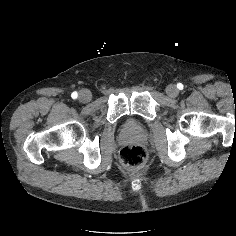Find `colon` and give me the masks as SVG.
<instances>
[{"label": "colon", "instance_id": "obj_1", "mask_svg": "<svg viewBox=\"0 0 236 236\" xmlns=\"http://www.w3.org/2000/svg\"><path fill=\"white\" fill-rule=\"evenodd\" d=\"M119 160L127 169H138L145 164L146 153L139 145H128L120 151Z\"/></svg>", "mask_w": 236, "mask_h": 236}]
</instances>
